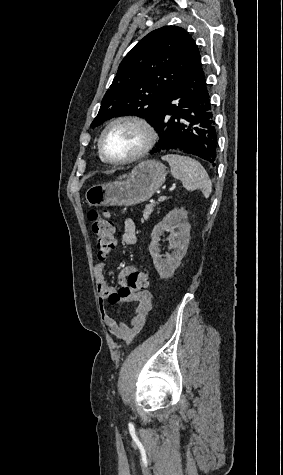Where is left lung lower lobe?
<instances>
[{
    "label": "left lung lower lobe",
    "instance_id": "1",
    "mask_svg": "<svg viewBox=\"0 0 283 475\" xmlns=\"http://www.w3.org/2000/svg\"><path fill=\"white\" fill-rule=\"evenodd\" d=\"M152 126L160 140L151 154L179 150L215 166L217 132L202 66L186 74L169 90Z\"/></svg>",
    "mask_w": 283,
    "mask_h": 475
}]
</instances>
